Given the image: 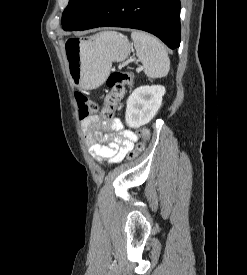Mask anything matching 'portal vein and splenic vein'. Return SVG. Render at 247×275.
Listing matches in <instances>:
<instances>
[{"label":"portal vein and splenic vein","instance_id":"1","mask_svg":"<svg viewBox=\"0 0 247 275\" xmlns=\"http://www.w3.org/2000/svg\"><path fill=\"white\" fill-rule=\"evenodd\" d=\"M141 70H142V68H141V67L137 68V71H141Z\"/></svg>","mask_w":247,"mask_h":275}]
</instances>
